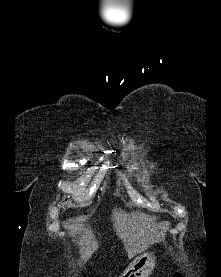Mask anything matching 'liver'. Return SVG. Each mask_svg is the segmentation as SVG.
<instances>
[{
    "label": "liver",
    "instance_id": "1",
    "mask_svg": "<svg viewBox=\"0 0 221 277\" xmlns=\"http://www.w3.org/2000/svg\"><path fill=\"white\" fill-rule=\"evenodd\" d=\"M156 220V216L141 212L126 213L122 210L113 212L114 230L124 244L129 259L164 239V233L159 231L155 225ZM78 244L80 264L87 262L99 248V244L89 228L83 229Z\"/></svg>",
    "mask_w": 221,
    "mask_h": 277
}]
</instances>
